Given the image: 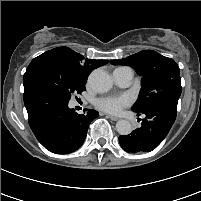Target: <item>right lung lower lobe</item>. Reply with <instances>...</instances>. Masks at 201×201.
Segmentation results:
<instances>
[{"label": "right lung lower lobe", "instance_id": "right-lung-lower-lobe-1", "mask_svg": "<svg viewBox=\"0 0 201 201\" xmlns=\"http://www.w3.org/2000/svg\"><path fill=\"white\" fill-rule=\"evenodd\" d=\"M68 102L49 90L24 88V104L34 135L48 151L58 154L77 150L86 138L90 122L99 116L92 109L77 114Z\"/></svg>", "mask_w": 201, "mask_h": 201}]
</instances>
